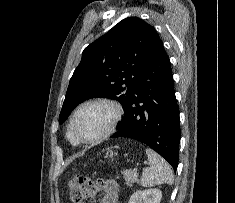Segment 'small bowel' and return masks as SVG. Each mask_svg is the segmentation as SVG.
<instances>
[{
  "mask_svg": "<svg viewBox=\"0 0 235 203\" xmlns=\"http://www.w3.org/2000/svg\"><path fill=\"white\" fill-rule=\"evenodd\" d=\"M103 196L99 203H118V183L113 179H107L103 184Z\"/></svg>",
  "mask_w": 235,
  "mask_h": 203,
  "instance_id": "c3829d8e",
  "label": "small bowel"
}]
</instances>
